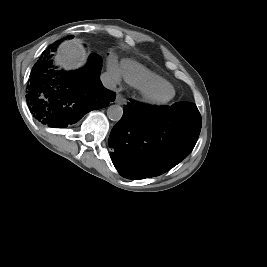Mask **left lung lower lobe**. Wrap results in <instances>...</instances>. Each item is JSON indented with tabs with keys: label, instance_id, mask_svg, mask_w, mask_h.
<instances>
[{
	"label": "left lung lower lobe",
	"instance_id": "0a47b994",
	"mask_svg": "<svg viewBox=\"0 0 267 267\" xmlns=\"http://www.w3.org/2000/svg\"><path fill=\"white\" fill-rule=\"evenodd\" d=\"M201 124V115L193 103L158 107L131 100L111 131V160L128 179L161 175L191 152Z\"/></svg>",
	"mask_w": 267,
	"mask_h": 267
}]
</instances>
